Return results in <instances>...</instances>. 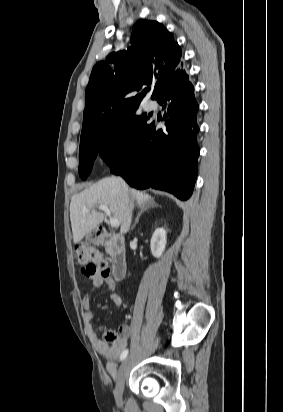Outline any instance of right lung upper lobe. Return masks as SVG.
<instances>
[{
  "label": "right lung upper lobe",
  "mask_w": 283,
  "mask_h": 412,
  "mask_svg": "<svg viewBox=\"0 0 283 412\" xmlns=\"http://www.w3.org/2000/svg\"><path fill=\"white\" fill-rule=\"evenodd\" d=\"M127 51L110 54L97 63L86 88L81 138L117 126L154 87L152 99L163 89L188 79L181 48L172 34L156 21L139 20L133 27ZM134 94L135 92H139Z\"/></svg>",
  "instance_id": "obj_1"
}]
</instances>
